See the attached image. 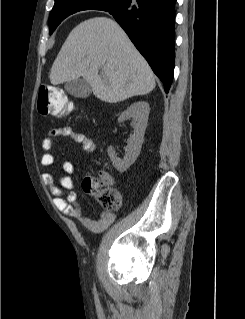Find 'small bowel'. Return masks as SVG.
Masks as SVG:
<instances>
[{
  "instance_id": "obj_1",
  "label": "small bowel",
  "mask_w": 245,
  "mask_h": 319,
  "mask_svg": "<svg viewBox=\"0 0 245 319\" xmlns=\"http://www.w3.org/2000/svg\"><path fill=\"white\" fill-rule=\"evenodd\" d=\"M56 137H67L81 144L82 150L86 154H90L95 150L96 144L93 138L84 133L74 131L71 127L65 126L61 128H53L49 130L42 140V156L41 165L50 167L54 163L53 140ZM63 173L58 178L57 185L55 177L51 173L42 175L43 182L54 195V204L65 215L77 219L81 224L93 233H99L105 230L115 219L113 213L102 212L98 220H93L86 216L84 210L77 202V196L74 191V182L72 175L75 172V165L71 161L62 163ZM104 183L108 186L113 185L112 178L104 173Z\"/></svg>"
}]
</instances>
